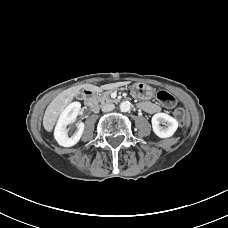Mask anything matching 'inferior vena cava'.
I'll return each instance as SVG.
<instances>
[{
    "mask_svg": "<svg viewBox=\"0 0 228 228\" xmlns=\"http://www.w3.org/2000/svg\"><path fill=\"white\" fill-rule=\"evenodd\" d=\"M114 109H115V105L111 103H107L102 106L103 112H110V111H113Z\"/></svg>",
    "mask_w": 228,
    "mask_h": 228,
    "instance_id": "obj_1",
    "label": "inferior vena cava"
}]
</instances>
